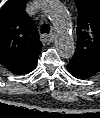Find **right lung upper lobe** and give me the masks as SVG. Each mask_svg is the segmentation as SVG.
<instances>
[{"label":"right lung upper lobe","mask_w":100,"mask_h":118,"mask_svg":"<svg viewBox=\"0 0 100 118\" xmlns=\"http://www.w3.org/2000/svg\"><path fill=\"white\" fill-rule=\"evenodd\" d=\"M28 0H8L0 9V63L17 75L37 65L42 44L34 23L25 12Z\"/></svg>","instance_id":"cb5924a9"}]
</instances>
